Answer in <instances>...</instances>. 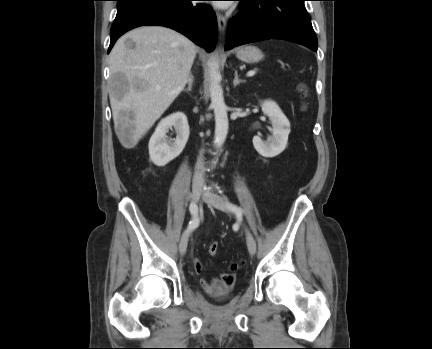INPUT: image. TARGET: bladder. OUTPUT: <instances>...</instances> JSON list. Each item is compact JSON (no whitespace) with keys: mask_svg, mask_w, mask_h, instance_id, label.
<instances>
[{"mask_svg":"<svg viewBox=\"0 0 432 349\" xmlns=\"http://www.w3.org/2000/svg\"><path fill=\"white\" fill-rule=\"evenodd\" d=\"M227 295H228V293H225V294L219 296V297L217 298V301H218L219 303H225V301H226L225 299H226Z\"/></svg>","mask_w":432,"mask_h":349,"instance_id":"obj_1","label":"bladder"}]
</instances>
